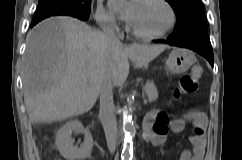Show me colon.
Here are the masks:
<instances>
[{
    "instance_id": "1",
    "label": "colon",
    "mask_w": 242,
    "mask_h": 160,
    "mask_svg": "<svg viewBox=\"0 0 242 160\" xmlns=\"http://www.w3.org/2000/svg\"><path fill=\"white\" fill-rule=\"evenodd\" d=\"M202 75V68L200 66H194L190 73L184 75L176 89V95L190 94L197 90L198 82ZM168 116L164 112H159L153 124V129L158 132H164L167 126Z\"/></svg>"
}]
</instances>
